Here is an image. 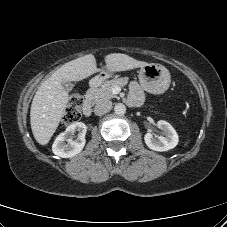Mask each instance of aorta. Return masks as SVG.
Returning a JSON list of instances; mask_svg holds the SVG:
<instances>
[{"label":"aorta","mask_w":227,"mask_h":227,"mask_svg":"<svg viewBox=\"0 0 227 227\" xmlns=\"http://www.w3.org/2000/svg\"><path fill=\"white\" fill-rule=\"evenodd\" d=\"M114 112L117 115H124L126 113V106L122 103H118L114 107Z\"/></svg>","instance_id":"762f6f07"}]
</instances>
